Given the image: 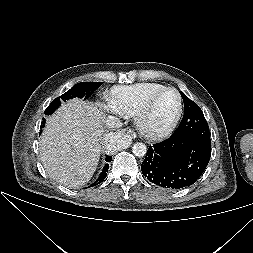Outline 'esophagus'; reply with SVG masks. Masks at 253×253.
Masks as SVG:
<instances>
[{
    "label": "esophagus",
    "instance_id": "obj_1",
    "mask_svg": "<svg viewBox=\"0 0 253 253\" xmlns=\"http://www.w3.org/2000/svg\"><path fill=\"white\" fill-rule=\"evenodd\" d=\"M116 134L125 135V136H128L130 138H132V136H133L131 132H129V131L125 130V129H118L116 131Z\"/></svg>",
    "mask_w": 253,
    "mask_h": 253
}]
</instances>
